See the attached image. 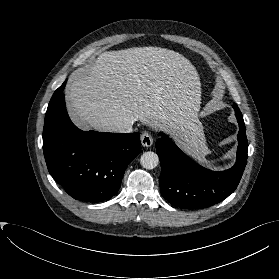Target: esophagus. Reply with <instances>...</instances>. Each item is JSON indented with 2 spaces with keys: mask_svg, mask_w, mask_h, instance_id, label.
I'll use <instances>...</instances> for the list:
<instances>
[{
  "mask_svg": "<svg viewBox=\"0 0 279 279\" xmlns=\"http://www.w3.org/2000/svg\"><path fill=\"white\" fill-rule=\"evenodd\" d=\"M141 144L144 147H150L153 144V138L149 132L145 131L142 133Z\"/></svg>",
  "mask_w": 279,
  "mask_h": 279,
  "instance_id": "esophagus-1",
  "label": "esophagus"
}]
</instances>
